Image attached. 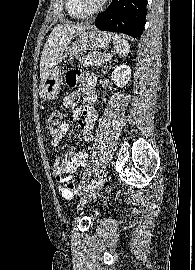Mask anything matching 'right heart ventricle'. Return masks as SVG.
<instances>
[{
  "instance_id": "1",
  "label": "right heart ventricle",
  "mask_w": 195,
  "mask_h": 270,
  "mask_svg": "<svg viewBox=\"0 0 195 270\" xmlns=\"http://www.w3.org/2000/svg\"><path fill=\"white\" fill-rule=\"evenodd\" d=\"M65 6L68 14L75 19H84L93 14L82 4L81 0H65Z\"/></svg>"
}]
</instances>
